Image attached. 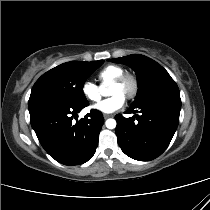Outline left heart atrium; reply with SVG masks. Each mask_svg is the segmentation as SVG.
Masks as SVG:
<instances>
[{
    "label": "left heart atrium",
    "mask_w": 210,
    "mask_h": 210,
    "mask_svg": "<svg viewBox=\"0 0 210 210\" xmlns=\"http://www.w3.org/2000/svg\"><path fill=\"white\" fill-rule=\"evenodd\" d=\"M125 103V98L121 94H115L107 99L102 100L93 108L99 112L110 114L120 110Z\"/></svg>",
    "instance_id": "left-heart-atrium-1"
}]
</instances>
